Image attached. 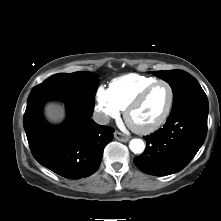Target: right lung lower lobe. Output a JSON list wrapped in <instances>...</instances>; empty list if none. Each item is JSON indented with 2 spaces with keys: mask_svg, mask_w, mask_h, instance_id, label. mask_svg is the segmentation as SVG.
I'll use <instances>...</instances> for the list:
<instances>
[{
  "mask_svg": "<svg viewBox=\"0 0 221 221\" xmlns=\"http://www.w3.org/2000/svg\"><path fill=\"white\" fill-rule=\"evenodd\" d=\"M47 100L28 104L24 114L33 156L42 166L68 179L92 175L101 163L104 147L113 139V129L95 123L92 112L66 103L65 122L51 126L42 115Z\"/></svg>",
  "mask_w": 221,
  "mask_h": 221,
  "instance_id": "obj_1",
  "label": "right lung lower lobe"
}]
</instances>
